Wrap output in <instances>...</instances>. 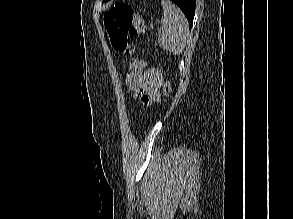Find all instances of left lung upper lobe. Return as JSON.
I'll return each instance as SVG.
<instances>
[{"mask_svg": "<svg viewBox=\"0 0 293 219\" xmlns=\"http://www.w3.org/2000/svg\"><path fill=\"white\" fill-rule=\"evenodd\" d=\"M109 0H103V2H108Z\"/></svg>", "mask_w": 293, "mask_h": 219, "instance_id": "obj_1", "label": "left lung upper lobe"}]
</instances>
